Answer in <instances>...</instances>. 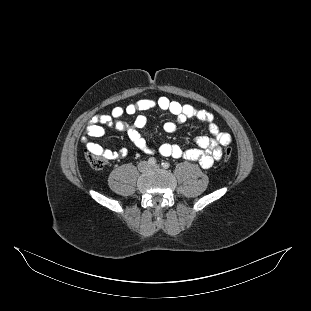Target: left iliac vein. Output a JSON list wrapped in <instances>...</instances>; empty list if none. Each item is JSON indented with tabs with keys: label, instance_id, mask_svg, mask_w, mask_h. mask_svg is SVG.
<instances>
[{
	"label": "left iliac vein",
	"instance_id": "left-iliac-vein-1",
	"mask_svg": "<svg viewBox=\"0 0 311 311\" xmlns=\"http://www.w3.org/2000/svg\"><path fill=\"white\" fill-rule=\"evenodd\" d=\"M150 168L151 169H157V168H159V165H157V164L156 165H152V166H150Z\"/></svg>",
	"mask_w": 311,
	"mask_h": 311
}]
</instances>
